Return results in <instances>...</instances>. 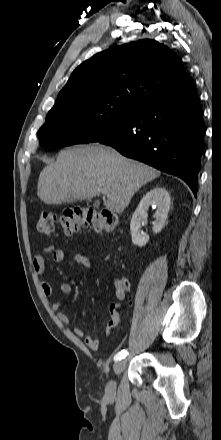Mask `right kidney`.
<instances>
[{
  "instance_id": "ca27d5eb",
  "label": "right kidney",
  "mask_w": 221,
  "mask_h": 440,
  "mask_svg": "<svg viewBox=\"0 0 221 440\" xmlns=\"http://www.w3.org/2000/svg\"><path fill=\"white\" fill-rule=\"evenodd\" d=\"M152 206L156 209L153 222V232L159 233L165 225L168 212L170 209V195L168 191L163 187H155L148 191L141 199L137 209L135 210L131 223V237L132 242L138 246H144L149 241V237L144 234H140L141 222L147 218L148 209Z\"/></svg>"
}]
</instances>
